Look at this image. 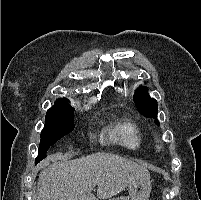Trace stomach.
<instances>
[{
  "instance_id": "0dacf381",
  "label": "stomach",
  "mask_w": 201,
  "mask_h": 200,
  "mask_svg": "<svg viewBox=\"0 0 201 200\" xmlns=\"http://www.w3.org/2000/svg\"><path fill=\"white\" fill-rule=\"evenodd\" d=\"M128 197L120 196L110 200H148L151 192V182L147 178H139L127 186Z\"/></svg>"
}]
</instances>
